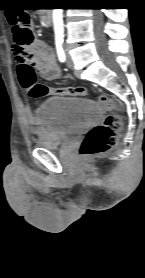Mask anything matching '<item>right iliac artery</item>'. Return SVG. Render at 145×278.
<instances>
[{
    "label": "right iliac artery",
    "instance_id": "1",
    "mask_svg": "<svg viewBox=\"0 0 145 278\" xmlns=\"http://www.w3.org/2000/svg\"><path fill=\"white\" fill-rule=\"evenodd\" d=\"M62 43H63L62 38H56V49H57L58 57L61 62H64L66 60V57L62 48Z\"/></svg>",
    "mask_w": 145,
    "mask_h": 278
}]
</instances>
